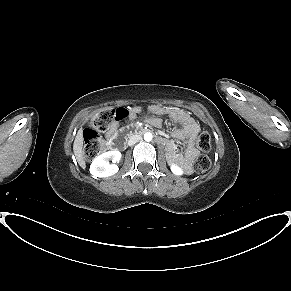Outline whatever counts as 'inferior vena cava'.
<instances>
[{
	"mask_svg": "<svg viewBox=\"0 0 291 291\" xmlns=\"http://www.w3.org/2000/svg\"><path fill=\"white\" fill-rule=\"evenodd\" d=\"M142 139V137L138 134L132 135L129 138L128 144L130 146L134 145L135 143H137L138 141H140Z\"/></svg>",
	"mask_w": 291,
	"mask_h": 291,
	"instance_id": "1",
	"label": "inferior vena cava"
}]
</instances>
